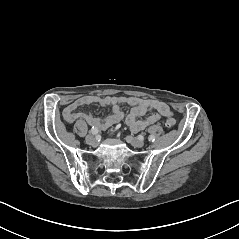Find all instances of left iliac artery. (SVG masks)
Here are the masks:
<instances>
[{"label":"left iliac artery","mask_w":239,"mask_h":239,"mask_svg":"<svg viewBox=\"0 0 239 239\" xmlns=\"http://www.w3.org/2000/svg\"><path fill=\"white\" fill-rule=\"evenodd\" d=\"M148 140H149L150 142H154L155 136H154V135H150V136L148 137Z\"/></svg>","instance_id":"44dca946"}]
</instances>
